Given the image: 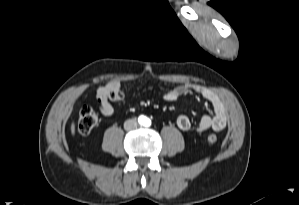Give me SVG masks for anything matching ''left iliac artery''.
Segmentation results:
<instances>
[{
	"label": "left iliac artery",
	"instance_id": "left-iliac-artery-1",
	"mask_svg": "<svg viewBox=\"0 0 299 205\" xmlns=\"http://www.w3.org/2000/svg\"><path fill=\"white\" fill-rule=\"evenodd\" d=\"M150 124H151V121L150 120H146L145 125L146 126H150Z\"/></svg>",
	"mask_w": 299,
	"mask_h": 205
}]
</instances>
